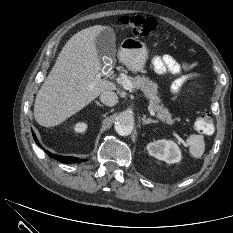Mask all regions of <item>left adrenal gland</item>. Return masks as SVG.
I'll list each match as a JSON object with an SVG mask.
<instances>
[{
    "label": "left adrenal gland",
    "instance_id": "1",
    "mask_svg": "<svg viewBox=\"0 0 233 233\" xmlns=\"http://www.w3.org/2000/svg\"><path fill=\"white\" fill-rule=\"evenodd\" d=\"M141 120L144 125L151 124V123H157V120H152L151 118H146L145 116L142 117Z\"/></svg>",
    "mask_w": 233,
    "mask_h": 233
}]
</instances>
